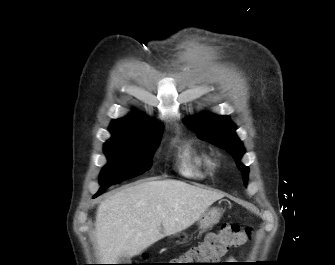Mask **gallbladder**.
Wrapping results in <instances>:
<instances>
[{"mask_svg":"<svg viewBox=\"0 0 335 265\" xmlns=\"http://www.w3.org/2000/svg\"><path fill=\"white\" fill-rule=\"evenodd\" d=\"M120 263H128L130 261L129 256H124L119 259Z\"/></svg>","mask_w":335,"mask_h":265,"instance_id":"1","label":"gallbladder"}]
</instances>
